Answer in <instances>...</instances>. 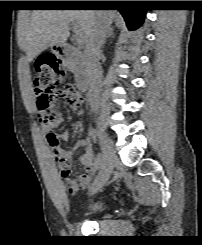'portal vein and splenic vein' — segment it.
I'll use <instances>...</instances> for the list:
<instances>
[{
	"label": "portal vein and splenic vein",
	"mask_w": 202,
	"mask_h": 245,
	"mask_svg": "<svg viewBox=\"0 0 202 245\" xmlns=\"http://www.w3.org/2000/svg\"><path fill=\"white\" fill-rule=\"evenodd\" d=\"M73 31L75 33L77 44L81 45L84 42V34L81 32L79 26L76 23H73Z\"/></svg>",
	"instance_id": "18ae733b"
}]
</instances>
